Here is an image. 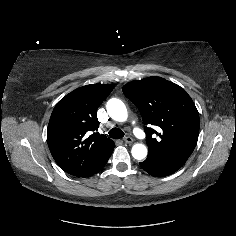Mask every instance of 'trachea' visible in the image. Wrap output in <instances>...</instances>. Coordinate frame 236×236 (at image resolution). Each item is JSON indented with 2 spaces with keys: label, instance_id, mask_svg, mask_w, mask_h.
I'll use <instances>...</instances> for the list:
<instances>
[{
  "label": "trachea",
  "instance_id": "1",
  "mask_svg": "<svg viewBox=\"0 0 236 236\" xmlns=\"http://www.w3.org/2000/svg\"><path fill=\"white\" fill-rule=\"evenodd\" d=\"M109 136L114 139H119L124 137V132L119 128H112L109 131Z\"/></svg>",
  "mask_w": 236,
  "mask_h": 236
}]
</instances>
